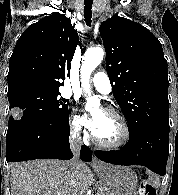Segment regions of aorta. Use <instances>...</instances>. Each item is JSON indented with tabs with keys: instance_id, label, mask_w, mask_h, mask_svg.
<instances>
[{
	"instance_id": "aorta-1",
	"label": "aorta",
	"mask_w": 178,
	"mask_h": 195,
	"mask_svg": "<svg viewBox=\"0 0 178 195\" xmlns=\"http://www.w3.org/2000/svg\"><path fill=\"white\" fill-rule=\"evenodd\" d=\"M104 57V50L100 47L89 49L85 52L81 65V82L83 90L88 94L86 110L97 106L99 101L95 97H91L90 91V75L94 69L101 63Z\"/></svg>"
}]
</instances>
